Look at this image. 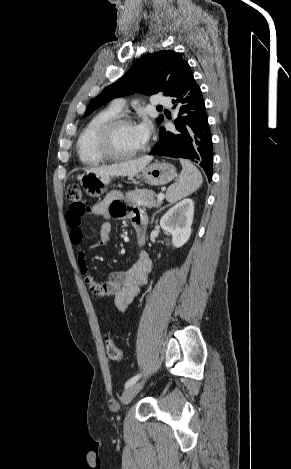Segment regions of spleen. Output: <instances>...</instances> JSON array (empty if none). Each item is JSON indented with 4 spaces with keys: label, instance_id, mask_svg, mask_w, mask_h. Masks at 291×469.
<instances>
[{
    "label": "spleen",
    "instance_id": "spleen-1",
    "mask_svg": "<svg viewBox=\"0 0 291 469\" xmlns=\"http://www.w3.org/2000/svg\"><path fill=\"white\" fill-rule=\"evenodd\" d=\"M182 171L177 183L169 186L166 192V199L170 203L189 196L195 192L203 183L200 171L188 160H180Z\"/></svg>",
    "mask_w": 291,
    "mask_h": 469
}]
</instances>
